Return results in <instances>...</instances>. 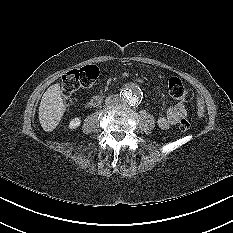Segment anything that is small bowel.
<instances>
[{
    "label": "small bowel",
    "mask_w": 233,
    "mask_h": 233,
    "mask_svg": "<svg viewBox=\"0 0 233 233\" xmlns=\"http://www.w3.org/2000/svg\"><path fill=\"white\" fill-rule=\"evenodd\" d=\"M187 116V110L182 102L168 108L163 115L158 117L157 124L161 129H168L180 122Z\"/></svg>",
    "instance_id": "1"
}]
</instances>
